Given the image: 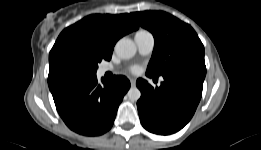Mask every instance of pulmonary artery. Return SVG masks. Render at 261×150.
Masks as SVG:
<instances>
[{"instance_id":"e3ab8cb5","label":"pulmonary artery","mask_w":261,"mask_h":150,"mask_svg":"<svg viewBox=\"0 0 261 150\" xmlns=\"http://www.w3.org/2000/svg\"><path fill=\"white\" fill-rule=\"evenodd\" d=\"M154 36L152 33L141 30L135 35V43L138 49V52L141 55H148L153 51L154 48ZM110 70L109 67H102L100 73L104 74Z\"/></svg>"}]
</instances>
